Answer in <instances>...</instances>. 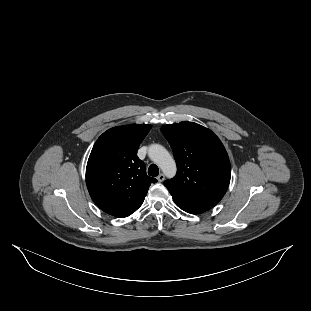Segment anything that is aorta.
<instances>
[{"mask_svg": "<svg viewBox=\"0 0 311 311\" xmlns=\"http://www.w3.org/2000/svg\"><path fill=\"white\" fill-rule=\"evenodd\" d=\"M148 156L168 178L176 175V162L164 146L160 144L150 145Z\"/></svg>", "mask_w": 311, "mask_h": 311, "instance_id": "aorta-1", "label": "aorta"}]
</instances>
